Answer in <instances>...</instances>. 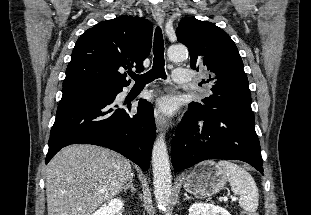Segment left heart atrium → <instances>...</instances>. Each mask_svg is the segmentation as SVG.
<instances>
[{
  "instance_id": "obj_1",
  "label": "left heart atrium",
  "mask_w": 311,
  "mask_h": 215,
  "mask_svg": "<svg viewBox=\"0 0 311 215\" xmlns=\"http://www.w3.org/2000/svg\"><path fill=\"white\" fill-rule=\"evenodd\" d=\"M175 110V105L173 101L169 98H162L157 102V109L158 113H163L166 115H170Z\"/></svg>"
}]
</instances>
